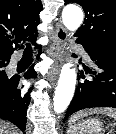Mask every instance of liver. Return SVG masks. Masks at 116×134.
Wrapping results in <instances>:
<instances>
[{"label": "liver", "instance_id": "1", "mask_svg": "<svg viewBox=\"0 0 116 134\" xmlns=\"http://www.w3.org/2000/svg\"><path fill=\"white\" fill-rule=\"evenodd\" d=\"M0 134H18L10 125L0 121Z\"/></svg>", "mask_w": 116, "mask_h": 134}]
</instances>
